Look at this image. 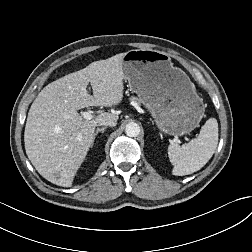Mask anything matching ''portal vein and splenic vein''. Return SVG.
<instances>
[{"instance_id":"18ae733b","label":"portal vein and splenic vein","mask_w":252,"mask_h":252,"mask_svg":"<svg viewBox=\"0 0 252 252\" xmlns=\"http://www.w3.org/2000/svg\"><path fill=\"white\" fill-rule=\"evenodd\" d=\"M81 115L84 119L90 120L92 118V114L90 112H82Z\"/></svg>"}]
</instances>
